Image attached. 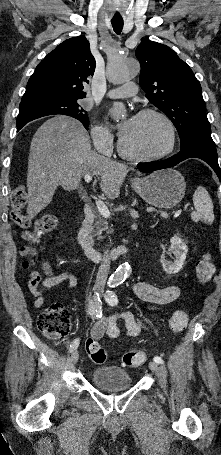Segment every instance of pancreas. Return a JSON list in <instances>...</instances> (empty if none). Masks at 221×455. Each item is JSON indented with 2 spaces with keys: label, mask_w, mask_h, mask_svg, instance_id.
<instances>
[{
  "label": "pancreas",
  "mask_w": 221,
  "mask_h": 455,
  "mask_svg": "<svg viewBox=\"0 0 221 455\" xmlns=\"http://www.w3.org/2000/svg\"><path fill=\"white\" fill-rule=\"evenodd\" d=\"M104 231L110 232L108 223L101 216H97L94 226L91 229V234L93 237H97L98 240H101Z\"/></svg>",
  "instance_id": "1"
}]
</instances>
